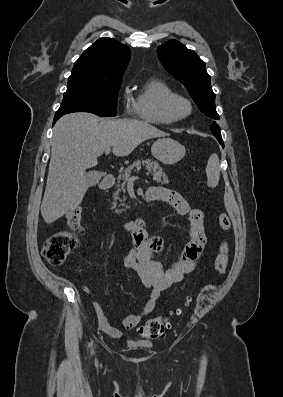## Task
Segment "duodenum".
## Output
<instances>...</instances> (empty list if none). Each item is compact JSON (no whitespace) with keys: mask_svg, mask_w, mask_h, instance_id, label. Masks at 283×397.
<instances>
[{"mask_svg":"<svg viewBox=\"0 0 283 397\" xmlns=\"http://www.w3.org/2000/svg\"><path fill=\"white\" fill-rule=\"evenodd\" d=\"M114 183L115 178L112 175H107L100 182V189L107 191L113 187ZM144 223L145 222L143 219L132 220L125 224V228L129 231H135L137 229L143 228Z\"/></svg>","mask_w":283,"mask_h":397,"instance_id":"1","label":"duodenum"}]
</instances>
